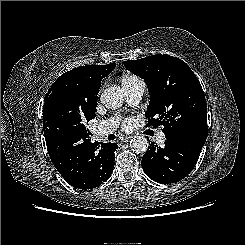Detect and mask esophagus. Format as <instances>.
Instances as JSON below:
<instances>
[{
  "instance_id": "esophagus-1",
  "label": "esophagus",
  "mask_w": 245,
  "mask_h": 245,
  "mask_svg": "<svg viewBox=\"0 0 245 245\" xmlns=\"http://www.w3.org/2000/svg\"><path fill=\"white\" fill-rule=\"evenodd\" d=\"M131 138H132V136H123V137H121V140H122L123 142H128V141L131 140Z\"/></svg>"
}]
</instances>
